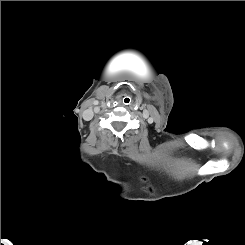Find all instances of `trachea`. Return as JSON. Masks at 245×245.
<instances>
[{
  "instance_id": "3493384b",
  "label": "trachea",
  "mask_w": 245,
  "mask_h": 245,
  "mask_svg": "<svg viewBox=\"0 0 245 245\" xmlns=\"http://www.w3.org/2000/svg\"><path fill=\"white\" fill-rule=\"evenodd\" d=\"M122 103L124 105H129L131 103V98L129 96H126L122 99Z\"/></svg>"
}]
</instances>
